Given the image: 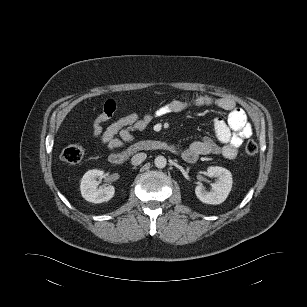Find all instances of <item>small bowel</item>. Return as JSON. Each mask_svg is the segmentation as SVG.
Wrapping results in <instances>:
<instances>
[{
	"label": "small bowel",
	"instance_id": "small-bowel-1",
	"mask_svg": "<svg viewBox=\"0 0 307 307\" xmlns=\"http://www.w3.org/2000/svg\"><path fill=\"white\" fill-rule=\"evenodd\" d=\"M190 107H216L227 111L228 115L226 119H214V139L205 137L192 142L182 150L183 159L193 163L200 156L210 154H221L227 159H234L243 141L252 135V127L244 110L237 107L236 102L228 97L183 95L165 103L154 113H147L142 117L137 113H129L105 127L104 124L113 117L117 109L116 102L110 99L105 102L102 112L94 119L91 136L110 151H114L131 143L135 139L134 132L146 130L154 118L179 113Z\"/></svg>",
	"mask_w": 307,
	"mask_h": 307
}]
</instances>
